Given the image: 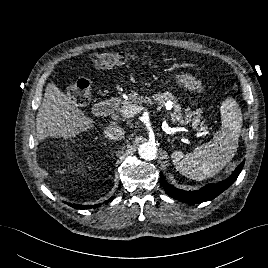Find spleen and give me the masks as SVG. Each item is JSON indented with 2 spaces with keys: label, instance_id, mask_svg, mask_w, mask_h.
<instances>
[{
  "label": "spleen",
  "instance_id": "3e777b00",
  "mask_svg": "<svg viewBox=\"0 0 268 268\" xmlns=\"http://www.w3.org/2000/svg\"><path fill=\"white\" fill-rule=\"evenodd\" d=\"M220 112L221 130L212 141L196 147L192 153L173 152V163L184 176L196 181L210 178L234 157L242 127L241 109L234 99L227 98Z\"/></svg>",
  "mask_w": 268,
  "mask_h": 268
}]
</instances>
